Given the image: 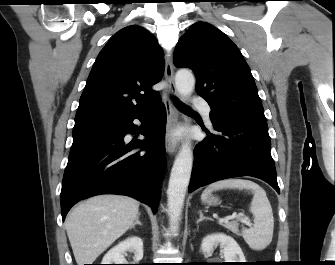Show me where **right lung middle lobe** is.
I'll list each match as a JSON object with an SVG mask.
<instances>
[{
  "mask_svg": "<svg viewBox=\"0 0 335 265\" xmlns=\"http://www.w3.org/2000/svg\"><path fill=\"white\" fill-rule=\"evenodd\" d=\"M109 124L105 125H81V126H74L73 128V136L85 134L89 132H94L100 129L107 127Z\"/></svg>",
  "mask_w": 335,
  "mask_h": 265,
  "instance_id": "1",
  "label": "right lung middle lobe"
}]
</instances>
